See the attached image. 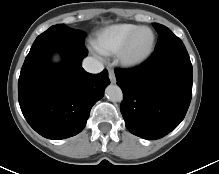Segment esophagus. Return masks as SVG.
<instances>
[{
  "mask_svg": "<svg viewBox=\"0 0 219 174\" xmlns=\"http://www.w3.org/2000/svg\"><path fill=\"white\" fill-rule=\"evenodd\" d=\"M108 76H109L111 83H116V77H115V73L113 69L111 68L108 69Z\"/></svg>",
  "mask_w": 219,
  "mask_h": 174,
  "instance_id": "34e87169",
  "label": "esophagus"
}]
</instances>
